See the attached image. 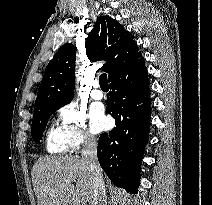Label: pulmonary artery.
<instances>
[{"label": "pulmonary artery", "instance_id": "1", "mask_svg": "<svg viewBox=\"0 0 212 205\" xmlns=\"http://www.w3.org/2000/svg\"><path fill=\"white\" fill-rule=\"evenodd\" d=\"M104 94L100 89V85L97 80H95L92 84L91 97L95 100H101Z\"/></svg>", "mask_w": 212, "mask_h": 205}]
</instances>
